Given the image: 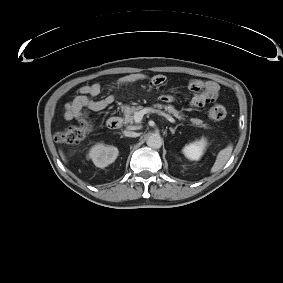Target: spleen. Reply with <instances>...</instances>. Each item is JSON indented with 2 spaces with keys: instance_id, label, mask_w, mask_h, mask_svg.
<instances>
[{
  "instance_id": "3e777b00",
  "label": "spleen",
  "mask_w": 283,
  "mask_h": 283,
  "mask_svg": "<svg viewBox=\"0 0 283 283\" xmlns=\"http://www.w3.org/2000/svg\"><path fill=\"white\" fill-rule=\"evenodd\" d=\"M233 146L230 144L226 148L219 151L217 154L214 165L211 168V173H215L220 170L229 160L232 154Z\"/></svg>"
}]
</instances>
